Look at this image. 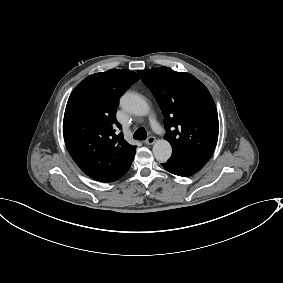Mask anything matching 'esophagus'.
Here are the masks:
<instances>
[{"label":"esophagus","instance_id":"34e87169","mask_svg":"<svg viewBox=\"0 0 283 283\" xmlns=\"http://www.w3.org/2000/svg\"><path fill=\"white\" fill-rule=\"evenodd\" d=\"M155 141H156V138L153 137V136H150V137H148V138L144 141V143H145L146 145H152V144L155 143Z\"/></svg>","mask_w":283,"mask_h":283}]
</instances>
